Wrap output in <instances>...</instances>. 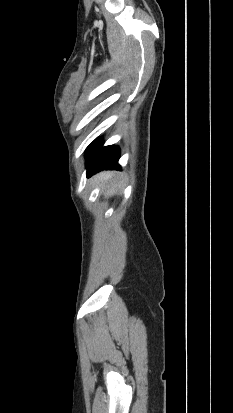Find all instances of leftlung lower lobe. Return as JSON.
<instances>
[{
  "label": "left lung lower lobe",
  "instance_id": "left-lung-lower-lobe-1",
  "mask_svg": "<svg viewBox=\"0 0 233 413\" xmlns=\"http://www.w3.org/2000/svg\"><path fill=\"white\" fill-rule=\"evenodd\" d=\"M120 151L117 146L102 147L100 139L89 145L86 151L87 177L106 169H118Z\"/></svg>",
  "mask_w": 233,
  "mask_h": 413
}]
</instances>
